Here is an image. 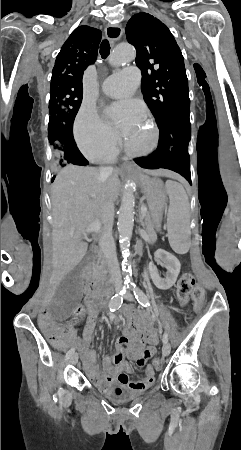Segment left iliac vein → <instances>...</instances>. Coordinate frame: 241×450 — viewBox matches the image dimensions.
I'll list each match as a JSON object with an SVG mask.
<instances>
[{
    "label": "left iliac vein",
    "instance_id": "1",
    "mask_svg": "<svg viewBox=\"0 0 241 450\" xmlns=\"http://www.w3.org/2000/svg\"><path fill=\"white\" fill-rule=\"evenodd\" d=\"M125 298L127 299V300H132L133 299V295L130 293V292H128L126 295H125ZM162 353H163V356H168L169 354H170V345L168 344V343H165L164 345H163V348H162Z\"/></svg>",
    "mask_w": 241,
    "mask_h": 450
}]
</instances>
